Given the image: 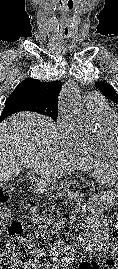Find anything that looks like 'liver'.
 Wrapping results in <instances>:
<instances>
[{
	"instance_id": "1",
	"label": "liver",
	"mask_w": 118,
	"mask_h": 269,
	"mask_svg": "<svg viewBox=\"0 0 118 269\" xmlns=\"http://www.w3.org/2000/svg\"><path fill=\"white\" fill-rule=\"evenodd\" d=\"M58 129L47 116L20 112L0 124V181L16 177L21 167L47 177H61L69 170L88 171L99 162L81 158L68 148L59 149ZM47 171L49 174H47Z\"/></svg>"
}]
</instances>
